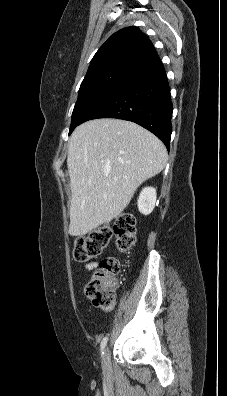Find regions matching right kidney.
Segmentation results:
<instances>
[{
	"label": "right kidney",
	"mask_w": 227,
	"mask_h": 396,
	"mask_svg": "<svg viewBox=\"0 0 227 396\" xmlns=\"http://www.w3.org/2000/svg\"><path fill=\"white\" fill-rule=\"evenodd\" d=\"M156 203V190L152 187H146L140 193L138 198V209L144 215L150 214Z\"/></svg>",
	"instance_id": "right-kidney-1"
}]
</instances>
